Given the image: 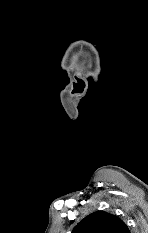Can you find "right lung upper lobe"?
<instances>
[{
  "mask_svg": "<svg viewBox=\"0 0 148 233\" xmlns=\"http://www.w3.org/2000/svg\"><path fill=\"white\" fill-rule=\"evenodd\" d=\"M72 233H130L127 225L115 215L97 211L81 220Z\"/></svg>",
  "mask_w": 148,
  "mask_h": 233,
  "instance_id": "1",
  "label": "right lung upper lobe"
}]
</instances>
